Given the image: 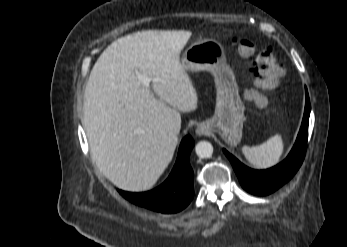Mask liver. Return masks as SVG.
<instances>
[{
	"mask_svg": "<svg viewBox=\"0 0 347 247\" xmlns=\"http://www.w3.org/2000/svg\"><path fill=\"white\" fill-rule=\"evenodd\" d=\"M190 31L147 30L111 43L94 64L84 93V127L93 160L122 190L150 189L171 162L180 112L198 96L179 54ZM136 71L153 79L152 89Z\"/></svg>",
	"mask_w": 347,
	"mask_h": 247,
	"instance_id": "6515ba94",
	"label": "liver"
}]
</instances>
